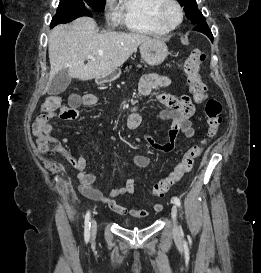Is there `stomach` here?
<instances>
[{
	"label": "stomach",
	"instance_id": "obj_1",
	"mask_svg": "<svg viewBox=\"0 0 261 273\" xmlns=\"http://www.w3.org/2000/svg\"><path fill=\"white\" fill-rule=\"evenodd\" d=\"M142 59L149 65H159L168 56V47L162 40L151 39L139 46ZM120 76V70L116 69L105 78L96 79L99 83L111 82Z\"/></svg>",
	"mask_w": 261,
	"mask_h": 273
}]
</instances>
